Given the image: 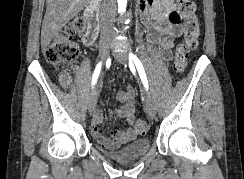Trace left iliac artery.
Returning a JSON list of instances; mask_svg holds the SVG:
<instances>
[{
	"instance_id": "1",
	"label": "left iliac artery",
	"mask_w": 244,
	"mask_h": 179,
	"mask_svg": "<svg viewBox=\"0 0 244 179\" xmlns=\"http://www.w3.org/2000/svg\"><path fill=\"white\" fill-rule=\"evenodd\" d=\"M129 60L134 61L135 65L137 67L138 73L140 75V78L144 84V87L146 88V90H148V80H147L146 73H145V70H144V67H143L141 61L133 53H129ZM130 67H132V65Z\"/></svg>"
}]
</instances>
